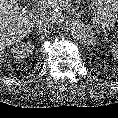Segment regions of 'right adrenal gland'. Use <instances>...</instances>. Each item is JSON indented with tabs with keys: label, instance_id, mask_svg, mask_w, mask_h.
<instances>
[{
	"label": "right adrenal gland",
	"instance_id": "1",
	"mask_svg": "<svg viewBox=\"0 0 118 118\" xmlns=\"http://www.w3.org/2000/svg\"><path fill=\"white\" fill-rule=\"evenodd\" d=\"M40 33H41L40 31H36V35H40Z\"/></svg>",
	"mask_w": 118,
	"mask_h": 118
}]
</instances>
